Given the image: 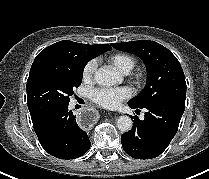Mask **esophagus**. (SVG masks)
Wrapping results in <instances>:
<instances>
[{"label": "esophagus", "instance_id": "1", "mask_svg": "<svg viewBox=\"0 0 209 179\" xmlns=\"http://www.w3.org/2000/svg\"><path fill=\"white\" fill-rule=\"evenodd\" d=\"M75 119L82 130L88 131L98 122L99 115L94 108H85L76 113Z\"/></svg>", "mask_w": 209, "mask_h": 179}]
</instances>
